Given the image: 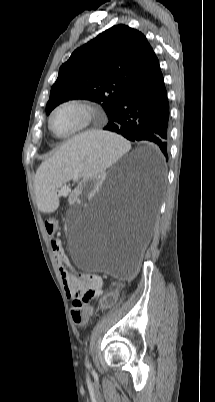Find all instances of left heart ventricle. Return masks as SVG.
I'll return each mask as SVG.
<instances>
[{"label": "left heart ventricle", "instance_id": "b2bd125f", "mask_svg": "<svg viewBox=\"0 0 215 402\" xmlns=\"http://www.w3.org/2000/svg\"><path fill=\"white\" fill-rule=\"evenodd\" d=\"M83 113L76 108H64L56 113L53 118V128L58 134H66L80 126Z\"/></svg>", "mask_w": 215, "mask_h": 402}]
</instances>
